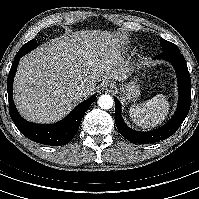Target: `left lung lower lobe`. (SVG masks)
Returning <instances> with one entry per match:
<instances>
[{"label":"left lung lower lobe","instance_id":"left-lung-lower-lobe-1","mask_svg":"<svg viewBox=\"0 0 199 199\" xmlns=\"http://www.w3.org/2000/svg\"><path fill=\"white\" fill-rule=\"evenodd\" d=\"M155 59H165L169 61L176 70L179 85L178 107L172 119L163 127L153 131L139 132L130 129L124 123L121 117V104L115 99V123L117 129L124 138L133 143L147 144L167 139L177 131L190 109L191 78L186 61L179 49L163 51L157 55Z\"/></svg>","mask_w":199,"mask_h":199}]
</instances>
